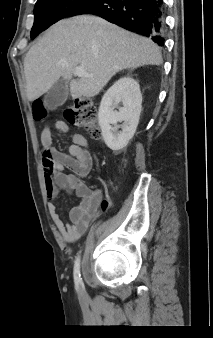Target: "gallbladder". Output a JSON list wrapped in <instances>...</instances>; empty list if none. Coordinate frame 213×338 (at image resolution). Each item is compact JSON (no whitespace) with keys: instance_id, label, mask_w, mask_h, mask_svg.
<instances>
[{"instance_id":"bac80fb5","label":"gallbladder","mask_w":213,"mask_h":338,"mask_svg":"<svg viewBox=\"0 0 213 338\" xmlns=\"http://www.w3.org/2000/svg\"><path fill=\"white\" fill-rule=\"evenodd\" d=\"M68 97V82L64 79H59L48 90L43 99V104L48 110H55L57 107L64 104Z\"/></svg>"}]
</instances>
